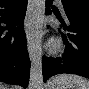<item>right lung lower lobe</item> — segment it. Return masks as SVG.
Listing matches in <instances>:
<instances>
[{
	"label": "right lung lower lobe",
	"mask_w": 89,
	"mask_h": 89,
	"mask_svg": "<svg viewBox=\"0 0 89 89\" xmlns=\"http://www.w3.org/2000/svg\"><path fill=\"white\" fill-rule=\"evenodd\" d=\"M0 7L5 12L1 22L7 25L0 27V81L27 87L30 60L25 32L23 27L5 32L23 22L27 0H0Z\"/></svg>",
	"instance_id": "right-lung-lower-lobe-1"
}]
</instances>
